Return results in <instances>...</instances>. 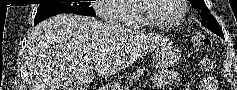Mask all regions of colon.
I'll list each match as a JSON object with an SVG mask.
<instances>
[{
	"label": "colon",
	"mask_w": 237,
	"mask_h": 90,
	"mask_svg": "<svg viewBox=\"0 0 237 90\" xmlns=\"http://www.w3.org/2000/svg\"><path fill=\"white\" fill-rule=\"evenodd\" d=\"M196 42L205 46H211L212 44L211 39L206 35H198L196 37Z\"/></svg>",
	"instance_id": "colon-1"
}]
</instances>
